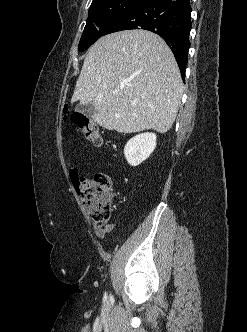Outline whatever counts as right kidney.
<instances>
[{
    "mask_svg": "<svg viewBox=\"0 0 247 332\" xmlns=\"http://www.w3.org/2000/svg\"><path fill=\"white\" fill-rule=\"evenodd\" d=\"M154 133H142L131 138L124 147V155L131 166H138L145 161L156 148Z\"/></svg>",
    "mask_w": 247,
    "mask_h": 332,
    "instance_id": "right-kidney-1",
    "label": "right kidney"
}]
</instances>
